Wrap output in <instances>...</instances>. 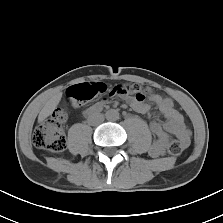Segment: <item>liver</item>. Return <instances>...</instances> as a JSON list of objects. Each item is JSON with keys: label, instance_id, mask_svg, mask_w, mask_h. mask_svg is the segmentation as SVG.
I'll list each match as a JSON object with an SVG mask.
<instances>
[{"label": "liver", "instance_id": "1", "mask_svg": "<svg viewBox=\"0 0 223 223\" xmlns=\"http://www.w3.org/2000/svg\"><path fill=\"white\" fill-rule=\"evenodd\" d=\"M61 97L62 93L60 92L45 103L44 107L42 108L38 116L39 123L43 122L48 116H50L53 113V111L59 104Z\"/></svg>", "mask_w": 223, "mask_h": 223}]
</instances>
